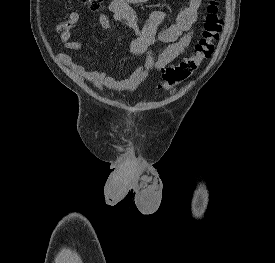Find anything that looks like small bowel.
Here are the masks:
<instances>
[{
  "mask_svg": "<svg viewBox=\"0 0 275 263\" xmlns=\"http://www.w3.org/2000/svg\"><path fill=\"white\" fill-rule=\"evenodd\" d=\"M148 1L112 0L108 13H103L99 17L100 27L105 31H117L120 25H125L134 32V37L128 42L129 51L134 55H143L144 60L127 77L118 79L107 70H87L64 52L57 54L58 61L68 67L74 75L89 81L99 90H136L150 72L162 71L185 52L193 35L202 0H189L188 5L177 15L175 22L164 28H160L167 16L163 9L154 10L143 24L140 23L133 5ZM79 20V12L74 11L56 27L61 44L67 50L80 51L83 48L82 42L72 39V32L78 27ZM155 42L166 44L158 56L149 50Z\"/></svg>",
  "mask_w": 275,
  "mask_h": 263,
  "instance_id": "c3829d8e",
  "label": "small bowel"
}]
</instances>
